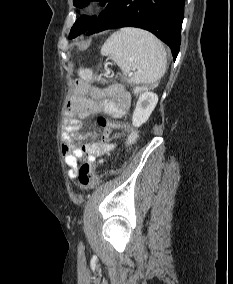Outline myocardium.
Returning <instances> with one entry per match:
<instances>
[{
  "mask_svg": "<svg viewBox=\"0 0 233 284\" xmlns=\"http://www.w3.org/2000/svg\"><path fill=\"white\" fill-rule=\"evenodd\" d=\"M95 9H96V4L93 2H90L85 6V11L87 13H92L93 11H95Z\"/></svg>",
  "mask_w": 233,
  "mask_h": 284,
  "instance_id": "myocardium-1",
  "label": "myocardium"
}]
</instances>
